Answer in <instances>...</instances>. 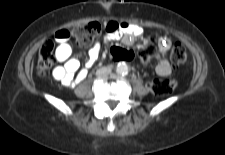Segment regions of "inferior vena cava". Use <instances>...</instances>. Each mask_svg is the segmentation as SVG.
Masks as SVG:
<instances>
[{"label": "inferior vena cava", "mask_w": 225, "mask_h": 155, "mask_svg": "<svg viewBox=\"0 0 225 155\" xmlns=\"http://www.w3.org/2000/svg\"><path fill=\"white\" fill-rule=\"evenodd\" d=\"M110 71H111L110 68L103 67V68L99 69L97 72L100 73V74H102V73H107V72H110Z\"/></svg>", "instance_id": "obj_1"}]
</instances>
